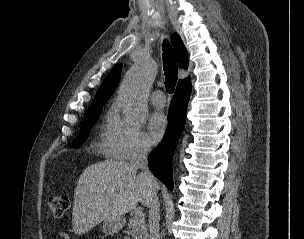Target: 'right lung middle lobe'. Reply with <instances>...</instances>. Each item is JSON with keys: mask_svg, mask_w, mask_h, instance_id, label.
Instances as JSON below:
<instances>
[{"mask_svg": "<svg viewBox=\"0 0 304 239\" xmlns=\"http://www.w3.org/2000/svg\"><path fill=\"white\" fill-rule=\"evenodd\" d=\"M101 112H102V107L89 108L85 112V114H84L85 119L82 123L80 132H79L78 136L76 137V139L72 143L69 144L70 147L77 148V147H80L85 142V140L88 137L90 129L93 127V125L97 121V118L99 117Z\"/></svg>", "mask_w": 304, "mask_h": 239, "instance_id": "1", "label": "right lung middle lobe"}]
</instances>
